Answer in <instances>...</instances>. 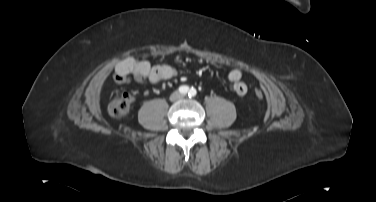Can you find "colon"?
<instances>
[{"mask_svg": "<svg viewBox=\"0 0 376 202\" xmlns=\"http://www.w3.org/2000/svg\"><path fill=\"white\" fill-rule=\"evenodd\" d=\"M255 95L257 98H263V92L256 90ZM133 103V96L128 93H122L116 97L109 106V114L115 118L120 119L127 115Z\"/></svg>", "mask_w": 376, "mask_h": 202, "instance_id": "5ec220e1", "label": "colon"}]
</instances>
